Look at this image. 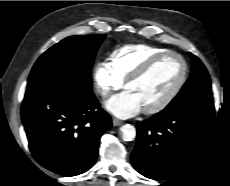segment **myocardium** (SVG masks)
I'll return each instance as SVG.
<instances>
[{
    "label": "myocardium",
    "mask_w": 230,
    "mask_h": 186,
    "mask_svg": "<svg viewBox=\"0 0 230 186\" xmlns=\"http://www.w3.org/2000/svg\"><path fill=\"white\" fill-rule=\"evenodd\" d=\"M169 56L176 57L181 61L183 67L181 77L179 81L176 83V85L173 87V89L160 102H158L152 107L143 109V112L145 114H156L164 110L173 102V100L180 93V91L182 90V88L184 87L188 79L189 66L187 61L182 55H180L177 52L174 51L161 52L149 58L140 68H138L133 74H131L125 81V87H127L128 84L143 78L160 60Z\"/></svg>",
    "instance_id": "1"
}]
</instances>
